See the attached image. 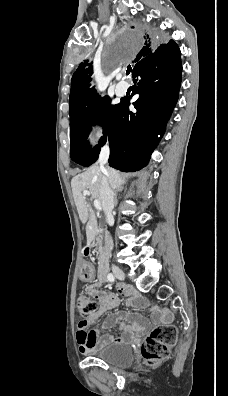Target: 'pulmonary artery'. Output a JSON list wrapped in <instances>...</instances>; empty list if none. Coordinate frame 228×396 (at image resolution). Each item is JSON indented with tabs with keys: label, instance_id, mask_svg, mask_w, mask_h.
I'll list each match as a JSON object with an SVG mask.
<instances>
[{
	"label": "pulmonary artery",
	"instance_id": "1",
	"mask_svg": "<svg viewBox=\"0 0 228 396\" xmlns=\"http://www.w3.org/2000/svg\"><path fill=\"white\" fill-rule=\"evenodd\" d=\"M125 91H126V86L122 85L120 88H118L116 90V93L118 96H122V95H124Z\"/></svg>",
	"mask_w": 228,
	"mask_h": 396
}]
</instances>
